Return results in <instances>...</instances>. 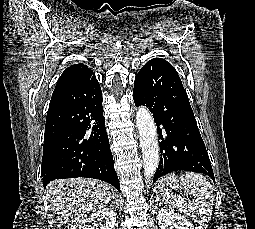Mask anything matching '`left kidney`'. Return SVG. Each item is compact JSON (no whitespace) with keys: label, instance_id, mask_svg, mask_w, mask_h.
Wrapping results in <instances>:
<instances>
[{"label":"left kidney","instance_id":"1","mask_svg":"<svg viewBox=\"0 0 255 229\" xmlns=\"http://www.w3.org/2000/svg\"><path fill=\"white\" fill-rule=\"evenodd\" d=\"M157 219L161 229H167L168 226H172L175 229H194L191 222L185 216L175 213L170 209L161 208Z\"/></svg>","mask_w":255,"mask_h":229}]
</instances>
